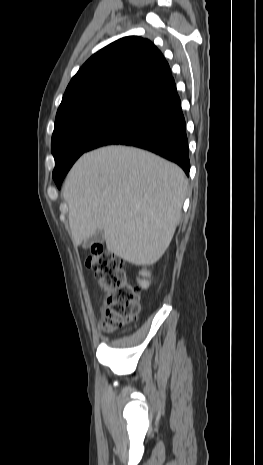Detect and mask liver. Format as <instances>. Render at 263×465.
Returning <instances> with one entry per match:
<instances>
[{
    "label": "liver",
    "mask_w": 263,
    "mask_h": 465,
    "mask_svg": "<svg viewBox=\"0 0 263 465\" xmlns=\"http://www.w3.org/2000/svg\"><path fill=\"white\" fill-rule=\"evenodd\" d=\"M187 187L182 169L153 153L116 145L86 153L63 187L73 242L103 230L108 251L154 264L173 238Z\"/></svg>",
    "instance_id": "1"
}]
</instances>
